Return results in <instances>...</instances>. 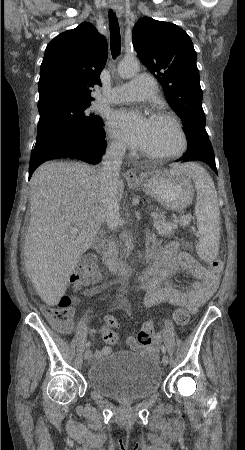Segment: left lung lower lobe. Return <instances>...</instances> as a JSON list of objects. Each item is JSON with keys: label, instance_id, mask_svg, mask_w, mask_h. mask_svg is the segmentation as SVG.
<instances>
[{"label": "left lung lower lobe", "instance_id": "0a47b994", "mask_svg": "<svg viewBox=\"0 0 245 450\" xmlns=\"http://www.w3.org/2000/svg\"><path fill=\"white\" fill-rule=\"evenodd\" d=\"M188 160H199L206 162L209 166L217 173L214 151L211 148H201L198 151L192 153H185L182 157H180L176 161H188Z\"/></svg>", "mask_w": 245, "mask_h": 450}]
</instances>
